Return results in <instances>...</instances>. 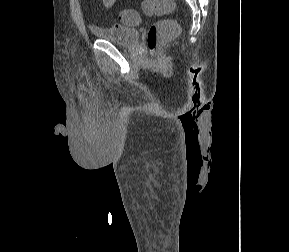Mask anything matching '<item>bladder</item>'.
I'll return each instance as SVG.
<instances>
[{"label": "bladder", "instance_id": "obj_1", "mask_svg": "<svg viewBox=\"0 0 289 252\" xmlns=\"http://www.w3.org/2000/svg\"><path fill=\"white\" fill-rule=\"evenodd\" d=\"M91 31L98 38L121 46H132L139 40V31L136 28L121 25L92 26Z\"/></svg>", "mask_w": 289, "mask_h": 252}]
</instances>
